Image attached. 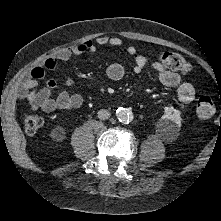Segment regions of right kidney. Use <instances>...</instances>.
<instances>
[{"mask_svg":"<svg viewBox=\"0 0 221 221\" xmlns=\"http://www.w3.org/2000/svg\"><path fill=\"white\" fill-rule=\"evenodd\" d=\"M57 130H61V128H57Z\"/></svg>","mask_w":221,"mask_h":221,"instance_id":"1","label":"right kidney"}]
</instances>
